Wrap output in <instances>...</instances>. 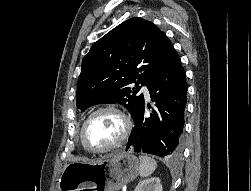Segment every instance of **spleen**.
I'll return each instance as SVG.
<instances>
[{
	"label": "spleen",
	"instance_id": "obj_1",
	"mask_svg": "<svg viewBox=\"0 0 251 191\" xmlns=\"http://www.w3.org/2000/svg\"><path fill=\"white\" fill-rule=\"evenodd\" d=\"M139 159H140L139 173L141 177H148V175H151L154 169H156L157 161H155L153 157H149V155H139Z\"/></svg>",
	"mask_w": 251,
	"mask_h": 191
}]
</instances>
